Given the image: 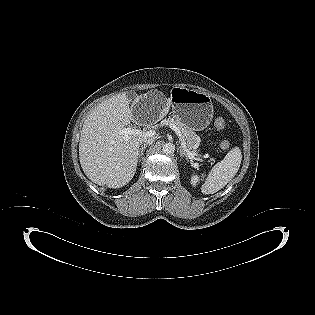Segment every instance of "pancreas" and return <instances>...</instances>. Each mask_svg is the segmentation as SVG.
I'll use <instances>...</instances> for the list:
<instances>
[{
  "label": "pancreas",
  "mask_w": 315,
  "mask_h": 315,
  "mask_svg": "<svg viewBox=\"0 0 315 315\" xmlns=\"http://www.w3.org/2000/svg\"><path fill=\"white\" fill-rule=\"evenodd\" d=\"M164 124L170 125L174 124L176 125L184 137V140L186 142V146L189 150L196 151V146L199 144V137L198 135L190 129L186 124H184L179 118H168L164 120Z\"/></svg>",
  "instance_id": "obj_1"
}]
</instances>
